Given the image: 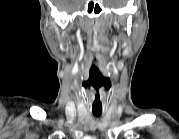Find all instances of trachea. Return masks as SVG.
I'll return each mask as SVG.
<instances>
[{"label": "trachea", "instance_id": "obj_1", "mask_svg": "<svg viewBox=\"0 0 179 139\" xmlns=\"http://www.w3.org/2000/svg\"><path fill=\"white\" fill-rule=\"evenodd\" d=\"M93 114H94L96 117H99V116L102 114V112H95V111H93Z\"/></svg>", "mask_w": 179, "mask_h": 139}]
</instances>
